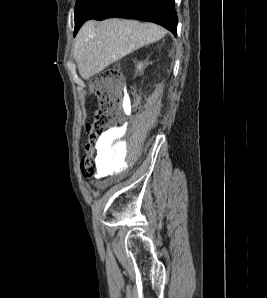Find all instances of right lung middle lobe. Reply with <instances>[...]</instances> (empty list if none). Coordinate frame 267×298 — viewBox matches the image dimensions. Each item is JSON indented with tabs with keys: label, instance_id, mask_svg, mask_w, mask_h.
Returning a JSON list of instances; mask_svg holds the SVG:
<instances>
[{
	"label": "right lung middle lobe",
	"instance_id": "obj_1",
	"mask_svg": "<svg viewBox=\"0 0 267 298\" xmlns=\"http://www.w3.org/2000/svg\"><path fill=\"white\" fill-rule=\"evenodd\" d=\"M102 0H77L75 7V27L92 14Z\"/></svg>",
	"mask_w": 267,
	"mask_h": 298
}]
</instances>
